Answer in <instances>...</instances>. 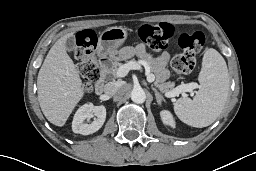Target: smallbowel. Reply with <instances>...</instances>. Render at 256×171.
Masks as SVG:
<instances>
[{
    "instance_id": "c3829d8e",
    "label": "small bowel",
    "mask_w": 256,
    "mask_h": 171,
    "mask_svg": "<svg viewBox=\"0 0 256 171\" xmlns=\"http://www.w3.org/2000/svg\"><path fill=\"white\" fill-rule=\"evenodd\" d=\"M133 53L137 55H144L146 49L143 45H138L132 48ZM169 60V54L167 52H163L158 54L154 59V67L157 72V76L159 80H165L168 77L167 63Z\"/></svg>"
}]
</instances>
